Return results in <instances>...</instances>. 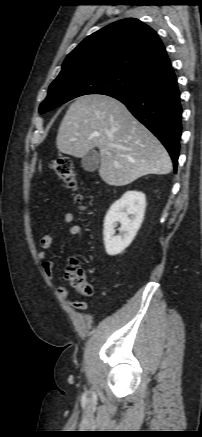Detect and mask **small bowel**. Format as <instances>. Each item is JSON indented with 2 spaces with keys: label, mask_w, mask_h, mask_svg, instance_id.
Listing matches in <instances>:
<instances>
[{
  "label": "small bowel",
  "mask_w": 202,
  "mask_h": 437,
  "mask_svg": "<svg viewBox=\"0 0 202 437\" xmlns=\"http://www.w3.org/2000/svg\"><path fill=\"white\" fill-rule=\"evenodd\" d=\"M73 220V214L71 212H66L63 215L61 222L54 225L51 228L50 232L45 234L40 240L41 250L38 253V259L41 261L42 270L45 277L50 282H52L54 279V263L51 260L47 259V256L54 242L56 233L66 227L68 234L77 237L80 242L82 241V229L79 225L72 224ZM57 292L62 296L64 300H66L67 304L70 307L77 310H86L87 306L84 302L71 301L68 299V292L64 287L59 286L57 288Z\"/></svg>",
  "instance_id": "small-bowel-1"
}]
</instances>
